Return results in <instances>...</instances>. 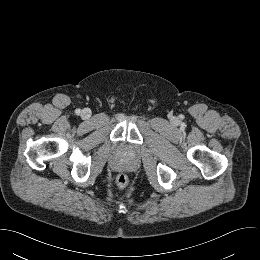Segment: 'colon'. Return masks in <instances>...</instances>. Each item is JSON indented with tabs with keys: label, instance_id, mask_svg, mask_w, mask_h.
Segmentation results:
<instances>
[{
	"label": "colon",
	"instance_id": "obj_1",
	"mask_svg": "<svg viewBox=\"0 0 260 260\" xmlns=\"http://www.w3.org/2000/svg\"><path fill=\"white\" fill-rule=\"evenodd\" d=\"M116 183L119 188H125L128 184V177L125 174H119L116 178Z\"/></svg>",
	"mask_w": 260,
	"mask_h": 260
}]
</instances>
